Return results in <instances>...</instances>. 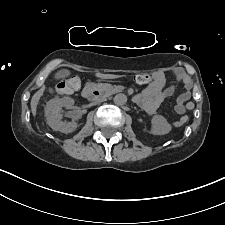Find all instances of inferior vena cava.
<instances>
[{
  "mask_svg": "<svg viewBox=\"0 0 225 225\" xmlns=\"http://www.w3.org/2000/svg\"><path fill=\"white\" fill-rule=\"evenodd\" d=\"M102 101H104V98H97V99H95V100L92 102V104L95 105V104H98V103H100V102H102Z\"/></svg>",
  "mask_w": 225,
  "mask_h": 225,
  "instance_id": "obj_1",
  "label": "inferior vena cava"
}]
</instances>
